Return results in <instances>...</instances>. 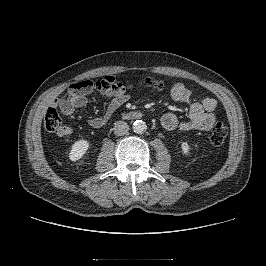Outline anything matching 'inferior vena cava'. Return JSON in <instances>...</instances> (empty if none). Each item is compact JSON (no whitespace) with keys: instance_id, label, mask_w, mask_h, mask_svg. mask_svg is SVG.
<instances>
[{"instance_id":"602c4592","label":"inferior vena cava","mask_w":266,"mask_h":266,"mask_svg":"<svg viewBox=\"0 0 266 266\" xmlns=\"http://www.w3.org/2000/svg\"><path fill=\"white\" fill-rule=\"evenodd\" d=\"M129 130V126L124 121H117L114 124V134L117 136L125 135Z\"/></svg>"}]
</instances>
